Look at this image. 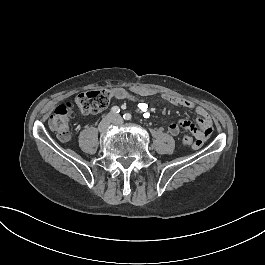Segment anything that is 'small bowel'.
<instances>
[{"mask_svg":"<svg viewBox=\"0 0 265 265\" xmlns=\"http://www.w3.org/2000/svg\"><path fill=\"white\" fill-rule=\"evenodd\" d=\"M111 91L117 99L137 102L139 105L145 104L148 98L157 94L154 89L143 86H132L128 89L115 87ZM161 98L172 106L191 110L197 115L195 122L181 120L170 123L168 132L176 137L181 130L190 131L198 141L193 145V148L199 151L202 148L201 144L208 139L212 132V121L208 111L193 101L176 95L164 93L161 95Z\"/></svg>","mask_w":265,"mask_h":265,"instance_id":"obj_1","label":"small bowel"}]
</instances>
